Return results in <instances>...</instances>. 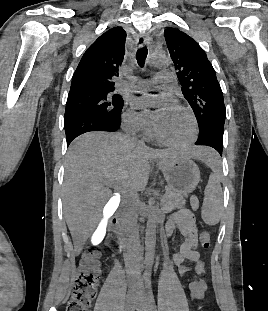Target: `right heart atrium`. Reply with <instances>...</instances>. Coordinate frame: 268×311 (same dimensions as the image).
<instances>
[{"instance_id": "right-heart-atrium-1", "label": "right heart atrium", "mask_w": 268, "mask_h": 311, "mask_svg": "<svg viewBox=\"0 0 268 311\" xmlns=\"http://www.w3.org/2000/svg\"><path fill=\"white\" fill-rule=\"evenodd\" d=\"M124 128L132 133L146 134L151 129V121L146 113L126 111L123 119Z\"/></svg>"}]
</instances>
